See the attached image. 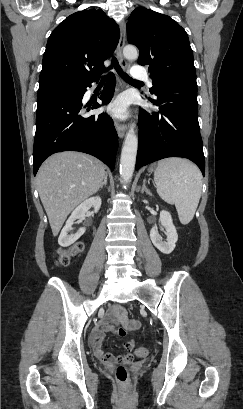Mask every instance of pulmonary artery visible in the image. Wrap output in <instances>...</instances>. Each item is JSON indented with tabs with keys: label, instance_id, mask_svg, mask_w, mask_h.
<instances>
[{
	"label": "pulmonary artery",
	"instance_id": "1",
	"mask_svg": "<svg viewBox=\"0 0 243 409\" xmlns=\"http://www.w3.org/2000/svg\"><path fill=\"white\" fill-rule=\"evenodd\" d=\"M132 77L137 80H146L150 86L152 85L147 73L144 70L139 69V65H136L135 69L133 70Z\"/></svg>",
	"mask_w": 243,
	"mask_h": 409
}]
</instances>
